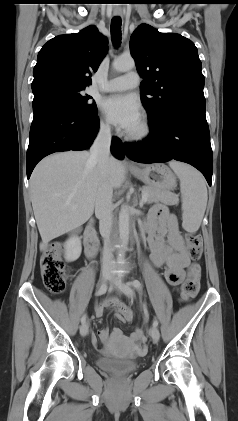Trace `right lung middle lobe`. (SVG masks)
<instances>
[{
  "label": "right lung middle lobe",
  "mask_w": 238,
  "mask_h": 421,
  "mask_svg": "<svg viewBox=\"0 0 238 421\" xmlns=\"http://www.w3.org/2000/svg\"><path fill=\"white\" fill-rule=\"evenodd\" d=\"M84 88L60 82H46L32 86V91L34 100L43 96H53L65 101L82 114L95 115L97 106L89 102L91 96L83 94Z\"/></svg>",
  "instance_id": "obj_1"
}]
</instances>
